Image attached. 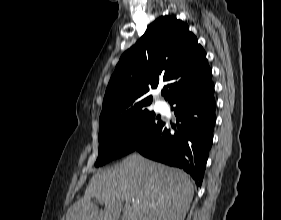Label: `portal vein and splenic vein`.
Instances as JSON below:
<instances>
[{
	"mask_svg": "<svg viewBox=\"0 0 281 220\" xmlns=\"http://www.w3.org/2000/svg\"><path fill=\"white\" fill-rule=\"evenodd\" d=\"M136 201V199L135 198H132V202L134 203Z\"/></svg>",
	"mask_w": 281,
	"mask_h": 220,
	"instance_id": "18ae733b",
	"label": "portal vein and splenic vein"
}]
</instances>
